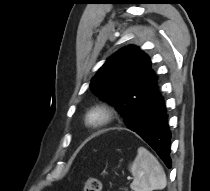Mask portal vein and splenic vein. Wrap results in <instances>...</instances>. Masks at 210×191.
I'll list each match as a JSON object with an SVG mask.
<instances>
[{
  "mask_svg": "<svg viewBox=\"0 0 210 191\" xmlns=\"http://www.w3.org/2000/svg\"><path fill=\"white\" fill-rule=\"evenodd\" d=\"M127 179H128V180H131L132 178H131V177H127Z\"/></svg>",
  "mask_w": 210,
  "mask_h": 191,
  "instance_id": "portal-vein-and-splenic-vein-1",
  "label": "portal vein and splenic vein"
}]
</instances>
